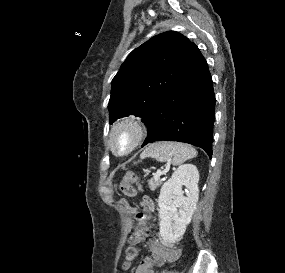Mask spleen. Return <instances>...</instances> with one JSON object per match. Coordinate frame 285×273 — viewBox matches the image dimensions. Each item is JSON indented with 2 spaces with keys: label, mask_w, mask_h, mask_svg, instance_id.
Here are the masks:
<instances>
[{
  "label": "spleen",
  "mask_w": 285,
  "mask_h": 273,
  "mask_svg": "<svg viewBox=\"0 0 285 273\" xmlns=\"http://www.w3.org/2000/svg\"><path fill=\"white\" fill-rule=\"evenodd\" d=\"M197 156V151L190 145L179 142H158L148 146L141 154V158L152 157L160 162H171L180 165Z\"/></svg>",
  "instance_id": "spleen-1"
}]
</instances>
